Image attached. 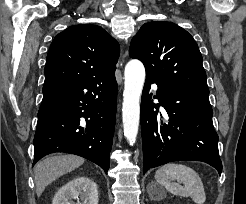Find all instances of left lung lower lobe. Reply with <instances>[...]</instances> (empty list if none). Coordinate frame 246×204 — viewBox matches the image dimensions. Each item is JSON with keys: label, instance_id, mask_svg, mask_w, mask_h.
<instances>
[{"label": "left lung lower lobe", "instance_id": "obj_1", "mask_svg": "<svg viewBox=\"0 0 246 204\" xmlns=\"http://www.w3.org/2000/svg\"><path fill=\"white\" fill-rule=\"evenodd\" d=\"M152 83L158 86L157 96L149 92ZM155 97L160 104L153 103ZM212 115L208 88L146 78L140 111L143 174L172 161L206 162L221 174Z\"/></svg>", "mask_w": 246, "mask_h": 204}]
</instances>
